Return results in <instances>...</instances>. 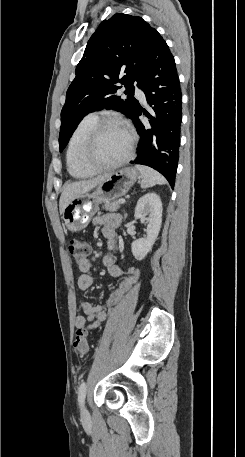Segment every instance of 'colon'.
<instances>
[{
    "mask_svg": "<svg viewBox=\"0 0 245 457\" xmlns=\"http://www.w3.org/2000/svg\"><path fill=\"white\" fill-rule=\"evenodd\" d=\"M68 251L77 261L86 259L90 253V247L86 242L80 240H70ZM74 349L78 356L86 357L89 353V335L87 329H78L74 336Z\"/></svg>",
    "mask_w": 245,
    "mask_h": 457,
    "instance_id": "obj_1",
    "label": "colon"
}]
</instances>
